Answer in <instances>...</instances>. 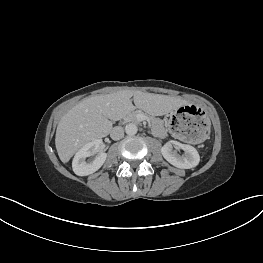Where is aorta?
I'll list each match as a JSON object with an SVG mask.
<instances>
[{
	"instance_id": "762f6f07",
	"label": "aorta",
	"mask_w": 263,
	"mask_h": 263,
	"mask_svg": "<svg viewBox=\"0 0 263 263\" xmlns=\"http://www.w3.org/2000/svg\"><path fill=\"white\" fill-rule=\"evenodd\" d=\"M138 131V128L136 126V124L134 123H129L125 126V132L128 135H135Z\"/></svg>"
}]
</instances>
